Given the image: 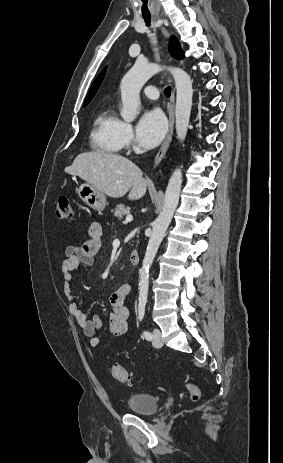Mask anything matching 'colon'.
<instances>
[{
    "label": "colon",
    "mask_w": 283,
    "mask_h": 463,
    "mask_svg": "<svg viewBox=\"0 0 283 463\" xmlns=\"http://www.w3.org/2000/svg\"><path fill=\"white\" fill-rule=\"evenodd\" d=\"M56 215L60 220H71L73 218L72 204L68 196L63 195L58 198ZM110 371L115 380L125 384L132 383V378L124 367L115 364L111 366ZM185 388L191 401H197L200 398V390L195 384L186 383Z\"/></svg>",
    "instance_id": "obj_1"
}]
</instances>
